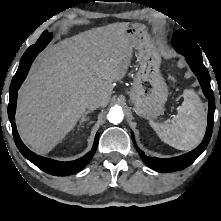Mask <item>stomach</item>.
I'll list each match as a JSON object with an SVG mask.
<instances>
[{
    "label": "stomach",
    "mask_w": 221,
    "mask_h": 221,
    "mask_svg": "<svg viewBox=\"0 0 221 221\" xmlns=\"http://www.w3.org/2000/svg\"><path fill=\"white\" fill-rule=\"evenodd\" d=\"M139 63L133 86L129 92L130 100L140 117L153 119L161 115L169 91L160 73L161 54L150 41L143 28L137 24L127 27Z\"/></svg>",
    "instance_id": "obj_1"
}]
</instances>
